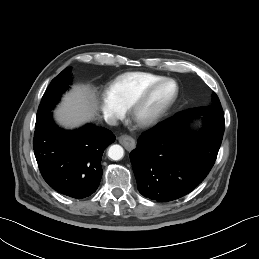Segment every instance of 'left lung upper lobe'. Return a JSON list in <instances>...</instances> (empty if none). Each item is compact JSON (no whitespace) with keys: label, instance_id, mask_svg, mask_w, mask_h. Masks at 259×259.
I'll use <instances>...</instances> for the list:
<instances>
[{"label":"left lung upper lobe","instance_id":"1","mask_svg":"<svg viewBox=\"0 0 259 259\" xmlns=\"http://www.w3.org/2000/svg\"><path fill=\"white\" fill-rule=\"evenodd\" d=\"M186 113H197V114L208 115V116H217V117L223 116V110L221 107V103L219 101L218 96L215 93L213 94V100H212V104L210 106L189 109L184 113H177L170 119L177 118L178 116H180L182 114H186Z\"/></svg>","mask_w":259,"mask_h":259}]
</instances>
